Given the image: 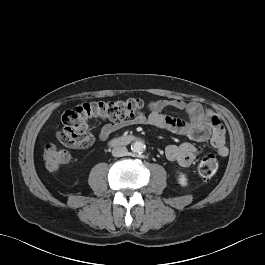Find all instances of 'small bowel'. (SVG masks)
Returning <instances> with one entry per match:
<instances>
[{
	"instance_id": "small-bowel-1",
	"label": "small bowel",
	"mask_w": 265,
	"mask_h": 265,
	"mask_svg": "<svg viewBox=\"0 0 265 265\" xmlns=\"http://www.w3.org/2000/svg\"><path fill=\"white\" fill-rule=\"evenodd\" d=\"M149 112L131 119L118 122H111L103 125L99 131V139L107 140L114 132L132 124H148L160 129H165L174 133L182 134L197 142L210 141L218 154L227 156L228 149L224 144L223 130L221 125L214 126L213 119H219L213 112L204 108L196 102H186L180 99H159L149 103ZM167 108H174L184 112L188 120L175 118L163 113ZM220 122V121H219ZM91 137L85 145H67L71 148H84L93 143ZM197 148L191 142H184L179 145L171 144L165 149L166 158L176 162L180 166L188 167L192 165L196 158Z\"/></svg>"
}]
</instances>
